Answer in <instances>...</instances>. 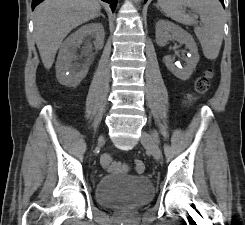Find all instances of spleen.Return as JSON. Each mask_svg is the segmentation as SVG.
<instances>
[{
	"label": "spleen",
	"instance_id": "3e777b00",
	"mask_svg": "<svg viewBox=\"0 0 245 225\" xmlns=\"http://www.w3.org/2000/svg\"><path fill=\"white\" fill-rule=\"evenodd\" d=\"M158 6L167 17L184 25H194V32L207 59L218 57L224 28V10L219 0H158ZM183 7H189L200 16L198 26L193 17L186 14Z\"/></svg>",
	"mask_w": 245,
	"mask_h": 225
}]
</instances>
